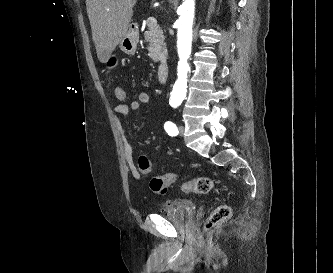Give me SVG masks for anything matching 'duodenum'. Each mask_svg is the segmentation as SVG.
<instances>
[{
	"label": "duodenum",
	"instance_id": "1",
	"mask_svg": "<svg viewBox=\"0 0 333 273\" xmlns=\"http://www.w3.org/2000/svg\"><path fill=\"white\" fill-rule=\"evenodd\" d=\"M169 75V65L168 62L163 60L160 63L159 69H158V81L160 84H165L167 82Z\"/></svg>",
	"mask_w": 333,
	"mask_h": 273
}]
</instances>
